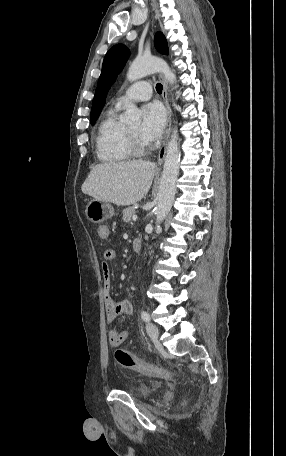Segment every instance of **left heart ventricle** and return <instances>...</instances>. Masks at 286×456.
<instances>
[{
	"label": "left heart ventricle",
	"mask_w": 286,
	"mask_h": 456,
	"mask_svg": "<svg viewBox=\"0 0 286 456\" xmlns=\"http://www.w3.org/2000/svg\"><path fill=\"white\" fill-rule=\"evenodd\" d=\"M132 134H134L136 137H138L141 141L145 142L141 137H140V126H134L128 129Z\"/></svg>",
	"instance_id": "left-heart-ventricle-1"
}]
</instances>
